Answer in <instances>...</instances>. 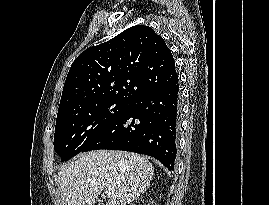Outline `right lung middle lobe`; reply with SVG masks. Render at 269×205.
<instances>
[{"label": "right lung middle lobe", "mask_w": 269, "mask_h": 205, "mask_svg": "<svg viewBox=\"0 0 269 205\" xmlns=\"http://www.w3.org/2000/svg\"><path fill=\"white\" fill-rule=\"evenodd\" d=\"M123 101H104L56 120L54 150L66 161L97 137L127 107Z\"/></svg>", "instance_id": "obj_1"}]
</instances>
